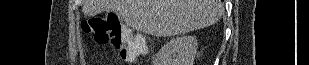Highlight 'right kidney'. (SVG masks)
Segmentation results:
<instances>
[{
    "label": "right kidney",
    "instance_id": "1",
    "mask_svg": "<svg viewBox=\"0 0 309 65\" xmlns=\"http://www.w3.org/2000/svg\"><path fill=\"white\" fill-rule=\"evenodd\" d=\"M197 40L193 36L174 37L157 54L156 65H193Z\"/></svg>",
    "mask_w": 309,
    "mask_h": 65
}]
</instances>
